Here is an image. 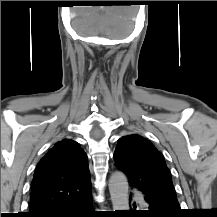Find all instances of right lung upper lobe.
<instances>
[{
    "label": "right lung upper lobe",
    "instance_id": "obj_1",
    "mask_svg": "<svg viewBox=\"0 0 217 217\" xmlns=\"http://www.w3.org/2000/svg\"><path fill=\"white\" fill-rule=\"evenodd\" d=\"M88 160L80 144L64 139L39 161L31 184L28 217H40L91 195Z\"/></svg>",
    "mask_w": 217,
    "mask_h": 217
}]
</instances>
